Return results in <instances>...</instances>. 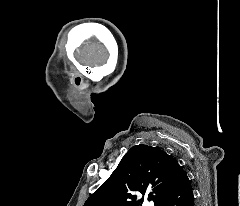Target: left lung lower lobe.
Here are the masks:
<instances>
[{"mask_svg": "<svg viewBox=\"0 0 240 206\" xmlns=\"http://www.w3.org/2000/svg\"><path fill=\"white\" fill-rule=\"evenodd\" d=\"M161 206H194L191 181L180 165L174 183Z\"/></svg>", "mask_w": 240, "mask_h": 206, "instance_id": "1", "label": "left lung lower lobe"}]
</instances>
